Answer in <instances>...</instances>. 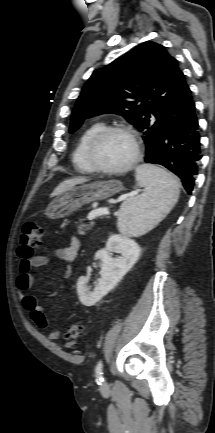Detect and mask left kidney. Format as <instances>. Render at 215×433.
Instances as JSON below:
<instances>
[{
    "label": "left kidney",
    "mask_w": 215,
    "mask_h": 433,
    "mask_svg": "<svg viewBox=\"0 0 215 433\" xmlns=\"http://www.w3.org/2000/svg\"><path fill=\"white\" fill-rule=\"evenodd\" d=\"M113 251L121 254V257L112 258ZM141 254L140 246L127 236L111 235L106 247L95 254V258L101 261V280L91 291L87 288L88 278L79 277L77 281V293L80 302L85 306H93L110 290H112L123 276L132 268Z\"/></svg>",
    "instance_id": "1"
}]
</instances>
